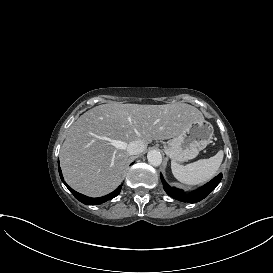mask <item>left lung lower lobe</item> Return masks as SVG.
<instances>
[{
    "mask_svg": "<svg viewBox=\"0 0 273 273\" xmlns=\"http://www.w3.org/2000/svg\"><path fill=\"white\" fill-rule=\"evenodd\" d=\"M160 177L163 183L164 190L169 196L182 202L195 203L204 199L219 184V182L222 179V173H220L218 176L213 178L209 183L195 190L189 195H185V193L180 189L169 186L165 182L163 176L160 175Z\"/></svg>",
    "mask_w": 273,
    "mask_h": 273,
    "instance_id": "obj_1",
    "label": "left lung lower lobe"
}]
</instances>
